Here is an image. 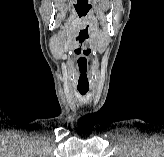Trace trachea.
I'll return each mask as SVG.
<instances>
[{"label": "trachea", "instance_id": "trachea-1", "mask_svg": "<svg viewBox=\"0 0 164 157\" xmlns=\"http://www.w3.org/2000/svg\"><path fill=\"white\" fill-rule=\"evenodd\" d=\"M80 94L85 95L88 92V89H78Z\"/></svg>", "mask_w": 164, "mask_h": 157}]
</instances>
